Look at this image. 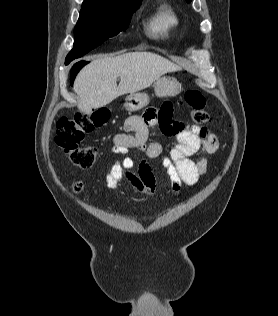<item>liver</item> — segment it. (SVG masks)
Instances as JSON below:
<instances>
[{"instance_id":"1","label":"liver","mask_w":278,"mask_h":316,"mask_svg":"<svg viewBox=\"0 0 278 316\" xmlns=\"http://www.w3.org/2000/svg\"><path fill=\"white\" fill-rule=\"evenodd\" d=\"M180 68L150 52H133L92 60L77 75L73 90L79 96L83 113L103 107L117 97L149 87L162 75ZM120 83L117 86V78Z\"/></svg>"}]
</instances>
